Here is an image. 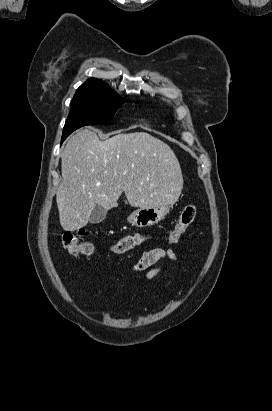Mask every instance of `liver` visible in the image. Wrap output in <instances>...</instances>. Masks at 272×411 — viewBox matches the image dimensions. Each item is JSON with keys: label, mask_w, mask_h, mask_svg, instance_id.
<instances>
[{"label": "liver", "mask_w": 272, "mask_h": 411, "mask_svg": "<svg viewBox=\"0 0 272 411\" xmlns=\"http://www.w3.org/2000/svg\"><path fill=\"white\" fill-rule=\"evenodd\" d=\"M61 171L56 202L60 224L70 232L87 225L96 205L117 207L122 192L130 206L151 208L174 204L183 187L170 146L146 132L101 141L94 131L81 130L61 154Z\"/></svg>", "instance_id": "liver-1"}]
</instances>
